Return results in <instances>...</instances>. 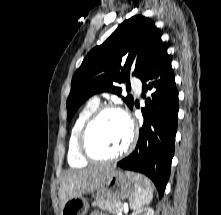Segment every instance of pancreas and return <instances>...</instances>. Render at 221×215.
Masks as SVG:
<instances>
[{"label": "pancreas", "mask_w": 221, "mask_h": 215, "mask_svg": "<svg viewBox=\"0 0 221 215\" xmlns=\"http://www.w3.org/2000/svg\"><path fill=\"white\" fill-rule=\"evenodd\" d=\"M93 206L99 207L109 213L116 214L123 210L122 203L119 199H107L104 201L94 202Z\"/></svg>", "instance_id": "obj_1"}]
</instances>
